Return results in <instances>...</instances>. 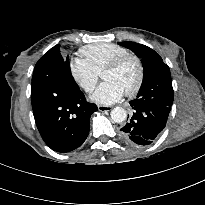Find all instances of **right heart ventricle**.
<instances>
[{
    "instance_id": "obj_1",
    "label": "right heart ventricle",
    "mask_w": 205,
    "mask_h": 205,
    "mask_svg": "<svg viewBox=\"0 0 205 205\" xmlns=\"http://www.w3.org/2000/svg\"><path fill=\"white\" fill-rule=\"evenodd\" d=\"M84 60L97 72L101 73L103 68L112 60L129 53V50L116 43H94L80 49Z\"/></svg>"
}]
</instances>
